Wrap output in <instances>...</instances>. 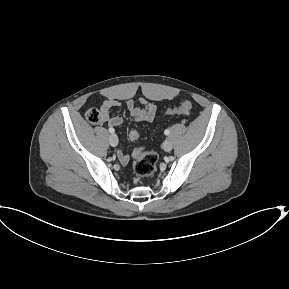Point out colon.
<instances>
[{"mask_svg":"<svg viewBox=\"0 0 289 289\" xmlns=\"http://www.w3.org/2000/svg\"><path fill=\"white\" fill-rule=\"evenodd\" d=\"M192 109V103L189 100L183 101L180 105L167 109V114H187ZM86 119L92 124L101 123L104 119V114L100 109L90 108L85 113ZM141 134L134 130L130 133V139L134 142L140 140ZM135 161L133 170L139 177L152 176L157 168L158 156L153 151H143L140 148L135 149Z\"/></svg>","mask_w":289,"mask_h":289,"instance_id":"1","label":"colon"}]
</instances>
